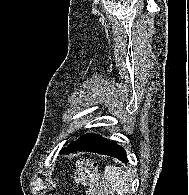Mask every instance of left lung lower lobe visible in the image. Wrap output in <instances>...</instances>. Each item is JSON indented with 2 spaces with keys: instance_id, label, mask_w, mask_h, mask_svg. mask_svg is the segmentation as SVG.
<instances>
[{
  "instance_id": "left-lung-lower-lobe-1",
  "label": "left lung lower lobe",
  "mask_w": 189,
  "mask_h": 195,
  "mask_svg": "<svg viewBox=\"0 0 189 195\" xmlns=\"http://www.w3.org/2000/svg\"><path fill=\"white\" fill-rule=\"evenodd\" d=\"M77 151L99 153L118 158L124 163L128 162V160L126 159V152L123 147L117 145L115 141L104 139L102 136L97 134L89 133L83 135L77 141H73L72 143L64 147L60 151V153L70 154Z\"/></svg>"
}]
</instances>
